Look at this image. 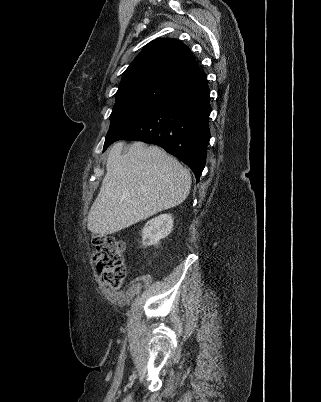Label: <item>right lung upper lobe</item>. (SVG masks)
I'll return each instance as SVG.
<instances>
[{"instance_id":"obj_1","label":"right lung upper lobe","mask_w":321,"mask_h":402,"mask_svg":"<svg viewBox=\"0 0 321 402\" xmlns=\"http://www.w3.org/2000/svg\"><path fill=\"white\" fill-rule=\"evenodd\" d=\"M199 71L186 45L176 39L161 38L147 44L129 65L118 91L148 83L174 86Z\"/></svg>"}]
</instances>
